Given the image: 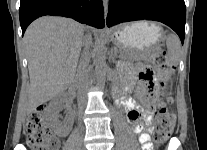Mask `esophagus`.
Here are the masks:
<instances>
[{"label":"esophagus","mask_w":207,"mask_h":150,"mask_svg":"<svg viewBox=\"0 0 207 150\" xmlns=\"http://www.w3.org/2000/svg\"><path fill=\"white\" fill-rule=\"evenodd\" d=\"M108 0H103L104 7L106 9Z\"/></svg>","instance_id":"obj_1"}]
</instances>
